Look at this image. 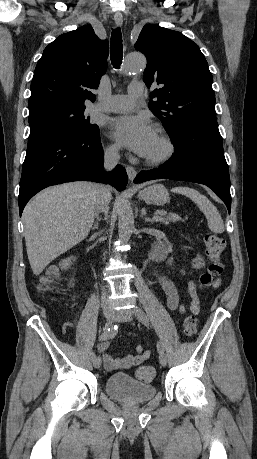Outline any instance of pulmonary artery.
I'll return each mask as SVG.
<instances>
[{
	"instance_id": "e3ab8cb5",
	"label": "pulmonary artery",
	"mask_w": 257,
	"mask_h": 459,
	"mask_svg": "<svg viewBox=\"0 0 257 459\" xmlns=\"http://www.w3.org/2000/svg\"><path fill=\"white\" fill-rule=\"evenodd\" d=\"M144 92L143 83L134 81L128 87V93L125 95H113L107 98L105 102L94 105V109L104 112H122L134 107L136 100Z\"/></svg>"
}]
</instances>
